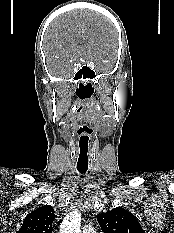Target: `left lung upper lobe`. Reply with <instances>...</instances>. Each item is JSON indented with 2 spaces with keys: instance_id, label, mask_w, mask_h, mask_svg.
I'll list each match as a JSON object with an SVG mask.
<instances>
[{
  "instance_id": "1",
  "label": "left lung upper lobe",
  "mask_w": 174,
  "mask_h": 233,
  "mask_svg": "<svg viewBox=\"0 0 174 233\" xmlns=\"http://www.w3.org/2000/svg\"><path fill=\"white\" fill-rule=\"evenodd\" d=\"M103 233H145L136 217L122 207L97 215Z\"/></svg>"
}]
</instances>
